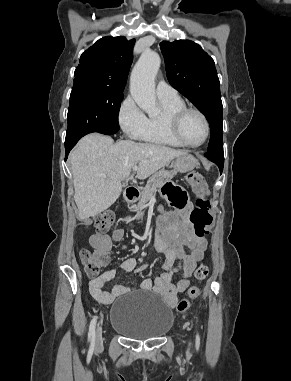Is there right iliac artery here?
Instances as JSON below:
<instances>
[{"label": "right iliac artery", "instance_id": "82829eb1", "mask_svg": "<svg viewBox=\"0 0 291 381\" xmlns=\"http://www.w3.org/2000/svg\"><path fill=\"white\" fill-rule=\"evenodd\" d=\"M96 322H97V317L94 316L90 323L89 333H88L89 339L92 340V343H91L92 348H94Z\"/></svg>", "mask_w": 291, "mask_h": 381}]
</instances>
